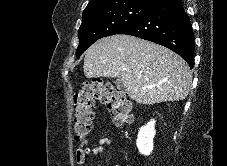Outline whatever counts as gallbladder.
Here are the masks:
<instances>
[{
    "label": "gallbladder",
    "mask_w": 227,
    "mask_h": 166,
    "mask_svg": "<svg viewBox=\"0 0 227 166\" xmlns=\"http://www.w3.org/2000/svg\"><path fill=\"white\" fill-rule=\"evenodd\" d=\"M115 84L121 89L124 87V85L120 79H116Z\"/></svg>",
    "instance_id": "obj_1"
}]
</instances>
